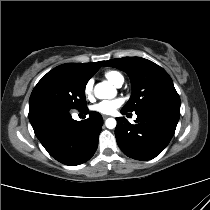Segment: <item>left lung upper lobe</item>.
Wrapping results in <instances>:
<instances>
[{
    "label": "left lung upper lobe",
    "instance_id": "1",
    "mask_svg": "<svg viewBox=\"0 0 210 210\" xmlns=\"http://www.w3.org/2000/svg\"><path fill=\"white\" fill-rule=\"evenodd\" d=\"M125 71L132 84V96L123 107L127 112H136L152 106L180 109V98L167 72L150 60L141 57H123L105 62Z\"/></svg>",
    "mask_w": 210,
    "mask_h": 210
}]
</instances>
